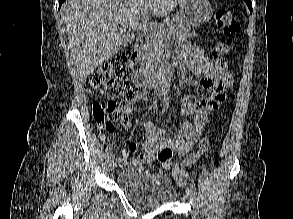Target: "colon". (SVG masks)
<instances>
[{
  "label": "colon",
  "mask_w": 293,
  "mask_h": 219,
  "mask_svg": "<svg viewBox=\"0 0 293 219\" xmlns=\"http://www.w3.org/2000/svg\"><path fill=\"white\" fill-rule=\"evenodd\" d=\"M217 24L226 36L234 37L240 33L241 26L236 16L229 10H221L217 14ZM229 47L224 43H217L213 48V55L217 58L216 68L222 74H229V64L224 57ZM137 60L135 51L127 52L103 64L96 72L90 75V85L101 94L112 93L107 100H98L93 103L92 114L101 130L112 133L118 122L130 120L134 110L133 101L135 90L128 82L133 66ZM209 148L208 137H203L197 151L190 154L184 161L172 160L173 149L163 148L158 152V159L165 166L172 168L178 177H181L182 167L195 164Z\"/></svg>",
  "instance_id": "obj_1"
}]
</instances>
